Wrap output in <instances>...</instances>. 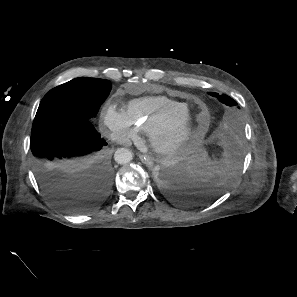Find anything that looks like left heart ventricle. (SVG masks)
Here are the masks:
<instances>
[{
    "mask_svg": "<svg viewBox=\"0 0 297 297\" xmlns=\"http://www.w3.org/2000/svg\"><path fill=\"white\" fill-rule=\"evenodd\" d=\"M183 131L182 125H173L163 136V142H170L177 138Z\"/></svg>",
    "mask_w": 297,
    "mask_h": 297,
    "instance_id": "1",
    "label": "left heart ventricle"
}]
</instances>
